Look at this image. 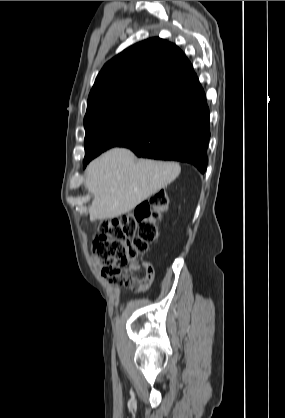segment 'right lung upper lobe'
<instances>
[{
    "instance_id": "obj_1",
    "label": "right lung upper lobe",
    "mask_w": 285,
    "mask_h": 418,
    "mask_svg": "<svg viewBox=\"0 0 285 418\" xmlns=\"http://www.w3.org/2000/svg\"><path fill=\"white\" fill-rule=\"evenodd\" d=\"M202 90L185 54L173 43L150 38L104 65L89 94L85 116L104 106L133 100L170 108Z\"/></svg>"
}]
</instances>
